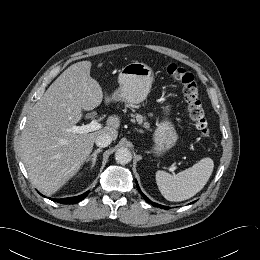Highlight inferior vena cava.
Here are the masks:
<instances>
[{
	"label": "inferior vena cava",
	"instance_id": "obj_1",
	"mask_svg": "<svg viewBox=\"0 0 260 260\" xmlns=\"http://www.w3.org/2000/svg\"><path fill=\"white\" fill-rule=\"evenodd\" d=\"M112 136L106 133L100 134L96 137L95 143L98 147L104 148L111 144Z\"/></svg>",
	"mask_w": 260,
	"mask_h": 260
}]
</instances>
